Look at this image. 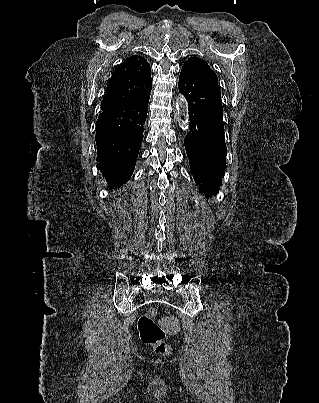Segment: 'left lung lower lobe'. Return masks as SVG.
Here are the masks:
<instances>
[{"instance_id":"left-lung-lower-lobe-1","label":"left lung lower lobe","mask_w":319,"mask_h":403,"mask_svg":"<svg viewBox=\"0 0 319 403\" xmlns=\"http://www.w3.org/2000/svg\"><path fill=\"white\" fill-rule=\"evenodd\" d=\"M189 107L184 140L193 178L205 195L219 191L226 170L223 109L218 81L183 66L178 83Z\"/></svg>"}]
</instances>
